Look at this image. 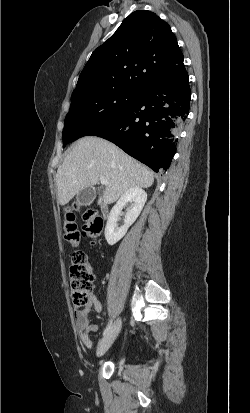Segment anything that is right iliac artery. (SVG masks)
<instances>
[{
	"mask_svg": "<svg viewBox=\"0 0 250 413\" xmlns=\"http://www.w3.org/2000/svg\"><path fill=\"white\" fill-rule=\"evenodd\" d=\"M111 328H112V320L109 321L107 327L105 328L103 332V336H105L110 331Z\"/></svg>",
	"mask_w": 250,
	"mask_h": 413,
	"instance_id": "obj_1",
	"label": "right iliac artery"
}]
</instances>
